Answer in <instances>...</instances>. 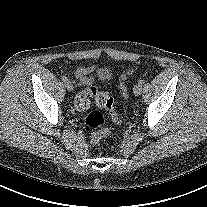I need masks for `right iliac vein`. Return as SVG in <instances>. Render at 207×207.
<instances>
[{
  "mask_svg": "<svg viewBox=\"0 0 207 207\" xmlns=\"http://www.w3.org/2000/svg\"><path fill=\"white\" fill-rule=\"evenodd\" d=\"M65 87H66V89H67L68 91H72L73 88H74L72 82L69 81V80H67V81L65 82Z\"/></svg>",
  "mask_w": 207,
  "mask_h": 207,
  "instance_id": "1",
  "label": "right iliac vein"
}]
</instances>
